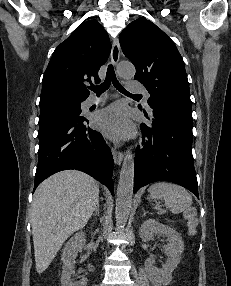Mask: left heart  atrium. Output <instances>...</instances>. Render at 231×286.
I'll return each instance as SVG.
<instances>
[{
  "label": "left heart atrium",
  "mask_w": 231,
  "mask_h": 286,
  "mask_svg": "<svg viewBox=\"0 0 231 286\" xmlns=\"http://www.w3.org/2000/svg\"><path fill=\"white\" fill-rule=\"evenodd\" d=\"M94 123L99 131L113 140L128 137L132 130L127 110L120 103L112 104L99 111L95 116Z\"/></svg>",
  "instance_id": "left-heart-atrium-1"
}]
</instances>
